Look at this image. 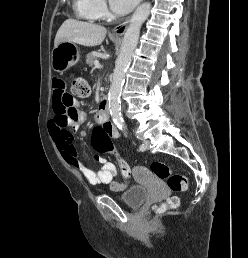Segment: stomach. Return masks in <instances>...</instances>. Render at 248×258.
Wrapping results in <instances>:
<instances>
[{
  "label": "stomach",
  "instance_id": "0dacf381",
  "mask_svg": "<svg viewBox=\"0 0 248 258\" xmlns=\"http://www.w3.org/2000/svg\"><path fill=\"white\" fill-rule=\"evenodd\" d=\"M81 60L77 46L72 42H61L51 54V66L56 72L63 73Z\"/></svg>",
  "mask_w": 248,
  "mask_h": 258
}]
</instances>
